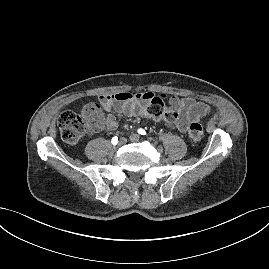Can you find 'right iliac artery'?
<instances>
[{
    "label": "right iliac artery",
    "instance_id": "82829eb1",
    "mask_svg": "<svg viewBox=\"0 0 269 269\" xmlns=\"http://www.w3.org/2000/svg\"><path fill=\"white\" fill-rule=\"evenodd\" d=\"M112 144L113 145H116L117 144V142H118V137L117 136H114L113 138H112Z\"/></svg>",
    "mask_w": 269,
    "mask_h": 269
}]
</instances>
